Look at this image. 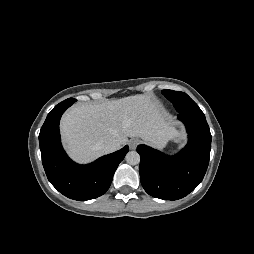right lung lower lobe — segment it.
Segmentation results:
<instances>
[{
	"label": "right lung lower lobe",
	"instance_id": "1",
	"mask_svg": "<svg viewBox=\"0 0 254 254\" xmlns=\"http://www.w3.org/2000/svg\"><path fill=\"white\" fill-rule=\"evenodd\" d=\"M76 99L59 103L48 114L39 134L42 163L50 183L68 198L86 201L103 195L109 188L115 170L129 147L105 155L93 163L79 165L62 148L59 121Z\"/></svg>",
	"mask_w": 254,
	"mask_h": 254
}]
</instances>
